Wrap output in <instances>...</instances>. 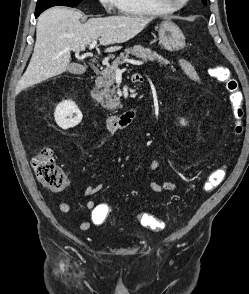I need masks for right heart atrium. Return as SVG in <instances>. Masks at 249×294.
<instances>
[{
    "mask_svg": "<svg viewBox=\"0 0 249 294\" xmlns=\"http://www.w3.org/2000/svg\"><path fill=\"white\" fill-rule=\"evenodd\" d=\"M99 1L103 5V7L108 11L118 8L117 2H116L117 0H99Z\"/></svg>",
    "mask_w": 249,
    "mask_h": 294,
    "instance_id": "obj_1",
    "label": "right heart atrium"
}]
</instances>
